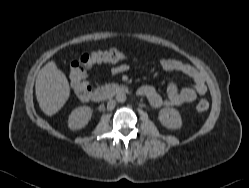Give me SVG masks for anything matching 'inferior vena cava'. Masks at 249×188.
<instances>
[{
	"label": "inferior vena cava",
	"mask_w": 249,
	"mask_h": 188,
	"mask_svg": "<svg viewBox=\"0 0 249 188\" xmlns=\"http://www.w3.org/2000/svg\"><path fill=\"white\" fill-rule=\"evenodd\" d=\"M115 105H116L115 100H109L108 103H107V110H113Z\"/></svg>",
	"instance_id": "inferior-vena-cava-1"
}]
</instances>
